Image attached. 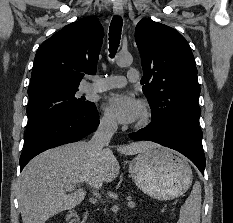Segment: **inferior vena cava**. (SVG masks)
<instances>
[{"instance_id": "inferior-vena-cava-1", "label": "inferior vena cava", "mask_w": 233, "mask_h": 223, "mask_svg": "<svg viewBox=\"0 0 233 223\" xmlns=\"http://www.w3.org/2000/svg\"><path fill=\"white\" fill-rule=\"evenodd\" d=\"M117 129V121L109 119V117H102L100 123L90 139V149L94 155H104L105 145H109V141Z\"/></svg>"}]
</instances>
